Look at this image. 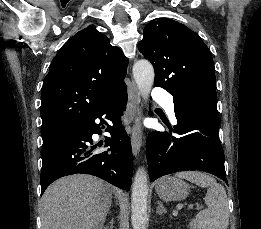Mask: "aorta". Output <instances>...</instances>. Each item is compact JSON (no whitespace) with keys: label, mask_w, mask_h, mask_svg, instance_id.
I'll return each instance as SVG.
<instances>
[{"label":"aorta","mask_w":261,"mask_h":229,"mask_svg":"<svg viewBox=\"0 0 261 229\" xmlns=\"http://www.w3.org/2000/svg\"><path fill=\"white\" fill-rule=\"evenodd\" d=\"M134 78L137 86L144 98L149 96V92L154 82V68L149 60H136L133 66ZM148 177L144 167H139L135 173L132 193H131V223L133 229H146L147 217V195Z\"/></svg>","instance_id":"obj_1"}]
</instances>
